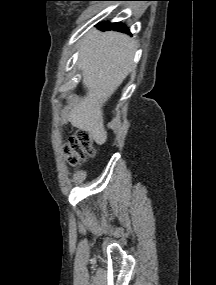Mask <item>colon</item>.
Listing matches in <instances>:
<instances>
[{
	"label": "colon",
	"instance_id": "colon-1",
	"mask_svg": "<svg viewBox=\"0 0 216 285\" xmlns=\"http://www.w3.org/2000/svg\"><path fill=\"white\" fill-rule=\"evenodd\" d=\"M68 159L71 164L75 165L95 153L90 135L85 131H79L69 139L67 147Z\"/></svg>",
	"mask_w": 216,
	"mask_h": 285
}]
</instances>
